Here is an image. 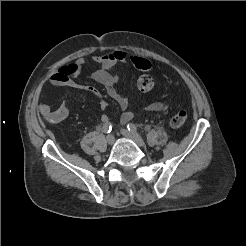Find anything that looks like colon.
<instances>
[{
  "label": "colon",
  "instance_id": "colon-1",
  "mask_svg": "<svg viewBox=\"0 0 246 246\" xmlns=\"http://www.w3.org/2000/svg\"><path fill=\"white\" fill-rule=\"evenodd\" d=\"M131 61L133 65L144 72H147L151 69V63L148 59L140 57V56H133L131 57ZM137 87L139 90L143 92H149L154 87V79L150 74H142L137 79ZM187 112L185 110L178 111L171 119V125L174 128L181 127L185 124L187 120Z\"/></svg>",
  "mask_w": 246,
  "mask_h": 246
}]
</instances>
